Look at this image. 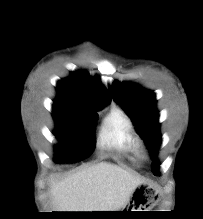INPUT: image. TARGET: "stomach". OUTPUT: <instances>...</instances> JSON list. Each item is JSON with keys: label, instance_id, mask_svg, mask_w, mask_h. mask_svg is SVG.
Returning <instances> with one entry per match:
<instances>
[{"label": "stomach", "instance_id": "0dacf381", "mask_svg": "<svg viewBox=\"0 0 203 219\" xmlns=\"http://www.w3.org/2000/svg\"><path fill=\"white\" fill-rule=\"evenodd\" d=\"M141 196L143 197L144 204H140L137 209L146 208V206L151 207L156 203L155 202L156 192L151 190V187L145 188ZM131 211H143V210H131ZM144 211H147V210H144Z\"/></svg>", "mask_w": 203, "mask_h": 219}]
</instances>
